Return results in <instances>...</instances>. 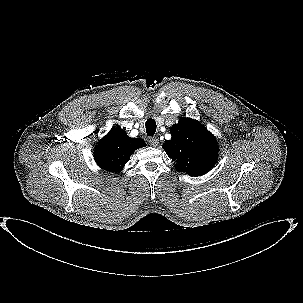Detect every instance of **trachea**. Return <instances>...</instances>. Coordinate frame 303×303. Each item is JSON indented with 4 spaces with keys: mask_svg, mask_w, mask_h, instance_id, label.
<instances>
[{
    "mask_svg": "<svg viewBox=\"0 0 303 303\" xmlns=\"http://www.w3.org/2000/svg\"><path fill=\"white\" fill-rule=\"evenodd\" d=\"M146 133L148 136H152L156 132V122L153 119H148L146 121Z\"/></svg>",
    "mask_w": 303,
    "mask_h": 303,
    "instance_id": "3493384b",
    "label": "trachea"
}]
</instances>
